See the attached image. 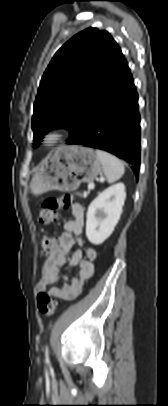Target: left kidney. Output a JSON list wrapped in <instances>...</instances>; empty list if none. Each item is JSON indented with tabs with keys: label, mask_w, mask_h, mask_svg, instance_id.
Here are the masks:
<instances>
[{
	"label": "left kidney",
	"mask_w": 168,
	"mask_h": 406,
	"mask_svg": "<svg viewBox=\"0 0 168 406\" xmlns=\"http://www.w3.org/2000/svg\"><path fill=\"white\" fill-rule=\"evenodd\" d=\"M125 198V185L117 183L102 191L91 202L87 211L86 236L92 244H102L113 233Z\"/></svg>",
	"instance_id": "obj_1"
}]
</instances>
